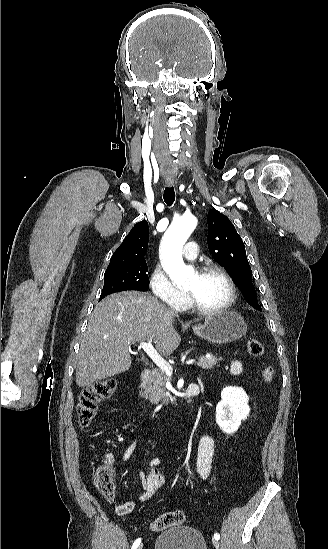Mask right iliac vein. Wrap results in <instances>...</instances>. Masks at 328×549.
I'll use <instances>...</instances> for the list:
<instances>
[{
	"label": "right iliac vein",
	"instance_id": "right-iliac-vein-1",
	"mask_svg": "<svg viewBox=\"0 0 328 549\" xmlns=\"http://www.w3.org/2000/svg\"><path fill=\"white\" fill-rule=\"evenodd\" d=\"M142 548H143V546H142V545H140V546L138 547V549H142Z\"/></svg>",
	"mask_w": 328,
	"mask_h": 549
}]
</instances>
